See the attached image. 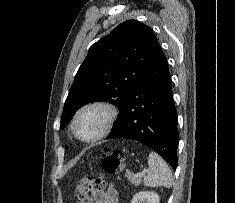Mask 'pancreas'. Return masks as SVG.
I'll use <instances>...</instances> for the list:
<instances>
[{
    "instance_id": "cf45deb5",
    "label": "pancreas",
    "mask_w": 235,
    "mask_h": 203,
    "mask_svg": "<svg viewBox=\"0 0 235 203\" xmlns=\"http://www.w3.org/2000/svg\"><path fill=\"white\" fill-rule=\"evenodd\" d=\"M125 176L127 177V179L134 185H140L141 183V178L137 177L136 175H134L132 172L127 171Z\"/></svg>"
}]
</instances>
